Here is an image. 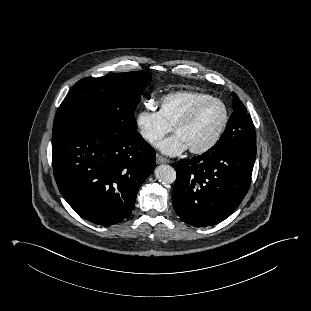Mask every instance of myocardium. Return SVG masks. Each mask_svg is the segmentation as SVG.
<instances>
[{"mask_svg": "<svg viewBox=\"0 0 311 311\" xmlns=\"http://www.w3.org/2000/svg\"><path fill=\"white\" fill-rule=\"evenodd\" d=\"M209 102H217L219 103L223 108V118L221 121L220 126L218 127L217 131L213 135V137L203 146L198 148H189V151L193 154H203L211 150L220 140L221 136L223 135L228 121H229V112L226 104L217 97H207L204 98L198 102H196L194 105H192L185 114L176 122V124L173 126V131L176 132L179 128L186 126L196 115V113L199 111L201 107H203L205 104Z\"/></svg>", "mask_w": 311, "mask_h": 311, "instance_id": "obj_1", "label": "myocardium"}]
</instances>
